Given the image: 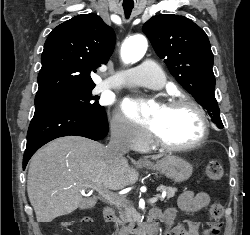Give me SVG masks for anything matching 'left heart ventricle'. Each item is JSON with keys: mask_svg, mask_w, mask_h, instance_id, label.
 I'll list each match as a JSON object with an SVG mask.
<instances>
[{"mask_svg": "<svg viewBox=\"0 0 250 235\" xmlns=\"http://www.w3.org/2000/svg\"><path fill=\"white\" fill-rule=\"evenodd\" d=\"M152 128L167 143L186 144L194 141L200 132L197 113L186 106L156 107L151 112Z\"/></svg>", "mask_w": 250, "mask_h": 235, "instance_id": "b2bd125f", "label": "left heart ventricle"}]
</instances>
